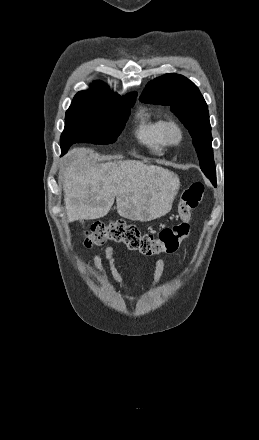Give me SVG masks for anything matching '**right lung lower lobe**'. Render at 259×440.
<instances>
[{
  "label": "right lung lower lobe",
  "instance_id": "1",
  "mask_svg": "<svg viewBox=\"0 0 259 440\" xmlns=\"http://www.w3.org/2000/svg\"><path fill=\"white\" fill-rule=\"evenodd\" d=\"M62 153L64 154V153H65V151H64V150H62Z\"/></svg>",
  "mask_w": 259,
  "mask_h": 440
}]
</instances>
